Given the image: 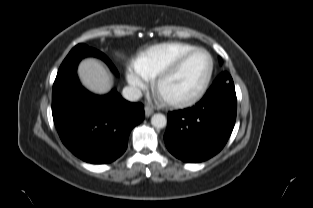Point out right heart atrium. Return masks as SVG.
Segmentation results:
<instances>
[{
  "label": "right heart atrium",
  "mask_w": 313,
  "mask_h": 208,
  "mask_svg": "<svg viewBox=\"0 0 313 208\" xmlns=\"http://www.w3.org/2000/svg\"><path fill=\"white\" fill-rule=\"evenodd\" d=\"M127 78L129 84L138 90L146 88L148 84V79L143 77L137 71H130Z\"/></svg>",
  "instance_id": "1"
}]
</instances>
